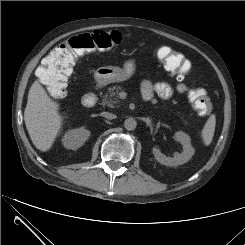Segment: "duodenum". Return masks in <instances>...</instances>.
<instances>
[{
  "label": "duodenum",
  "mask_w": 245,
  "mask_h": 245,
  "mask_svg": "<svg viewBox=\"0 0 245 245\" xmlns=\"http://www.w3.org/2000/svg\"><path fill=\"white\" fill-rule=\"evenodd\" d=\"M96 101L97 97L93 92L84 94L80 99L81 105L85 108L92 107L96 103Z\"/></svg>",
  "instance_id": "410a0bca"
}]
</instances>
